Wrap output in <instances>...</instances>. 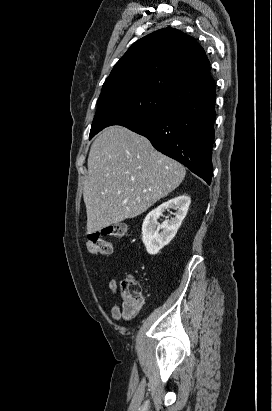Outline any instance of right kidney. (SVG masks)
<instances>
[{
    "label": "right kidney",
    "instance_id": "obj_1",
    "mask_svg": "<svg viewBox=\"0 0 272 411\" xmlns=\"http://www.w3.org/2000/svg\"><path fill=\"white\" fill-rule=\"evenodd\" d=\"M191 199L181 195L164 202L156 209L149 212L142 225V241L150 255H156L164 246L175 237L183 219L185 218ZM176 210L175 217L164 221L161 225L157 220L168 209ZM160 229H162L161 232Z\"/></svg>",
    "mask_w": 272,
    "mask_h": 411
}]
</instances>
